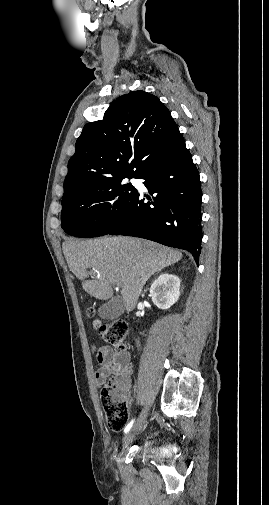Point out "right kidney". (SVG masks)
I'll return each instance as SVG.
<instances>
[{
    "instance_id": "ca27d5eb",
    "label": "right kidney",
    "mask_w": 269,
    "mask_h": 505,
    "mask_svg": "<svg viewBox=\"0 0 269 505\" xmlns=\"http://www.w3.org/2000/svg\"><path fill=\"white\" fill-rule=\"evenodd\" d=\"M150 296L158 308H170L179 299L180 279L173 274H161L151 285Z\"/></svg>"
}]
</instances>
